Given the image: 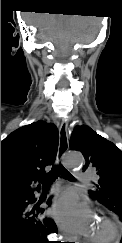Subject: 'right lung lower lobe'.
I'll return each instance as SVG.
<instances>
[{
    "label": "right lung lower lobe",
    "mask_w": 122,
    "mask_h": 243,
    "mask_svg": "<svg viewBox=\"0 0 122 243\" xmlns=\"http://www.w3.org/2000/svg\"><path fill=\"white\" fill-rule=\"evenodd\" d=\"M34 201L33 191L1 200V243H49L47 235L57 230L56 225L42 217L44 209L29 208Z\"/></svg>",
    "instance_id": "1"
}]
</instances>
